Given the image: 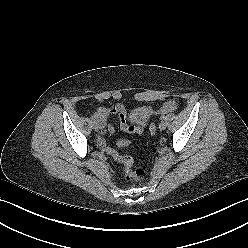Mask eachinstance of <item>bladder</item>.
Listing matches in <instances>:
<instances>
[{"label": "bladder", "instance_id": "31cf9c89", "mask_svg": "<svg viewBox=\"0 0 248 248\" xmlns=\"http://www.w3.org/2000/svg\"><path fill=\"white\" fill-rule=\"evenodd\" d=\"M142 114L141 113H139V114H136V119H138V120H140L141 118H142Z\"/></svg>", "mask_w": 248, "mask_h": 248}]
</instances>
